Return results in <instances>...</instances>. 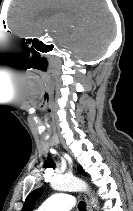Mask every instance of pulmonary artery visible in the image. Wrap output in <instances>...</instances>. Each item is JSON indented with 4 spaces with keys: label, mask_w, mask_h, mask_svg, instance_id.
Segmentation results:
<instances>
[{
    "label": "pulmonary artery",
    "mask_w": 133,
    "mask_h": 211,
    "mask_svg": "<svg viewBox=\"0 0 133 211\" xmlns=\"http://www.w3.org/2000/svg\"><path fill=\"white\" fill-rule=\"evenodd\" d=\"M74 206V198L67 193H56L49 197L36 211H68Z\"/></svg>",
    "instance_id": "pulmonary-artery-1"
}]
</instances>
